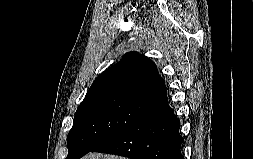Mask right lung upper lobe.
Wrapping results in <instances>:
<instances>
[{
	"mask_svg": "<svg viewBox=\"0 0 253 159\" xmlns=\"http://www.w3.org/2000/svg\"><path fill=\"white\" fill-rule=\"evenodd\" d=\"M106 96H129L157 106L167 101L163 78L149 58L137 52L127 53L121 61L100 74L84 99Z\"/></svg>",
	"mask_w": 253,
	"mask_h": 159,
	"instance_id": "obj_1",
	"label": "right lung upper lobe"
}]
</instances>
